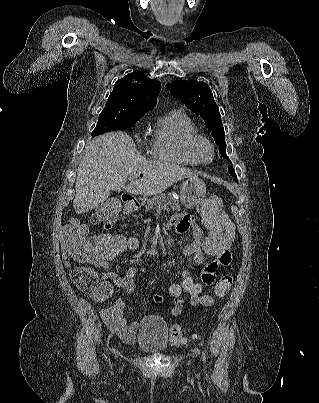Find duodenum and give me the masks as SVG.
I'll return each mask as SVG.
<instances>
[{
	"label": "duodenum",
	"instance_id": "duodenum-1",
	"mask_svg": "<svg viewBox=\"0 0 319 403\" xmlns=\"http://www.w3.org/2000/svg\"><path fill=\"white\" fill-rule=\"evenodd\" d=\"M122 200L125 204V210L127 212H132L141 206V203L129 194H124L122 196Z\"/></svg>",
	"mask_w": 319,
	"mask_h": 403
}]
</instances>
